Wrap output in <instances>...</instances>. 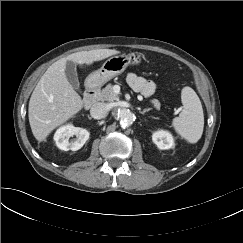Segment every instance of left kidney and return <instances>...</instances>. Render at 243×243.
Here are the masks:
<instances>
[{"mask_svg": "<svg viewBox=\"0 0 243 243\" xmlns=\"http://www.w3.org/2000/svg\"><path fill=\"white\" fill-rule=\"evenodd\" d=\"M152 140L161 150L170 149L174 145L172 135L169 132L163 130L153 133Z\"/></svg>", "mask_w": 243, "mask_h": 243, "instance_id": "obj_1", "label": "left kidney"}]
</instances>
